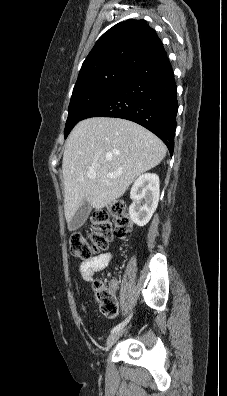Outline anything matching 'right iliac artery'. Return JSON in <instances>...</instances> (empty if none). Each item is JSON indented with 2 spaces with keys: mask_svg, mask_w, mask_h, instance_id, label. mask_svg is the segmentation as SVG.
Here are the masks:
<instances>
[{
  "mask_svg": "<svg viewBox=\"0 0 227 396\" xmlns=\"http://www.w3.org/2000/svg\"><path fill=\"white\" fill-rule=\"evenodd\" d=\"M132 314H130L123 322H121L120 324H118L117 326H115L112 330L111 333L117 332L120 329H122L131 319Z\"/></svg>",
  "mask_w": 227,
  "mask_h": 396,
  "instance_id": "obj_1",
  "label": "right iliac artery"
}]
</instances>
